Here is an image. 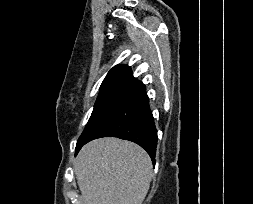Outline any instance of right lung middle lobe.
I'll return each mask as SVG.
<instances>
[{
  "label": "right lung middle lobe",
  "mask_w": 253,
  "mask_h": 204,
  "mask_svg": "<svg viewBox=\"0 0 253 204\" xmlns=\"http://www.w3.org/2000/svg\"><path fill=\"white\" fill-rule=\"evenodd\" d=\"M139 86L140 83L123 82L102 86L100 88L91 117L77 141L76 151L86 143L94 130Z\"/></svg>",
  "instance_id": "right-lung-middle-lobe-1"
}]
</instances>
